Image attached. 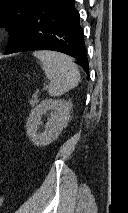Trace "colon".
<instances>
[{"label":"colon","mask_w":128,"mask_h":213,"mask_svg":"<svg viewBox=\"0 0 128 213\" xmlns=\"http://www.w3.org/2000/svg\"><path fill=\"white\" fill-rule=\"evenodd\" d=\"M2 201V198L0 197V202Z\"/></svg>","instance_id":"colon-1"}]
</instances>
